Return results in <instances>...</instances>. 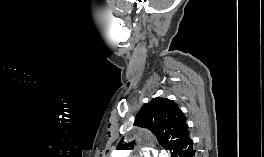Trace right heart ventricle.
<instances>
[{
  "label": "right heart ventricle",
  "instance_id": "obj_1",
  "mask_svg": "<svg viewBox=\"0 0 264 157\" xmlns=\"http://www.w3.org/2000/svg\"><path fill=\"white\" fill-rule=\"evenodd\" d=\"M112 157H125L122 153H115Z\"/></svg>",
  "mask_w": 264,
  "mask_h": 157
}]
</instances>
